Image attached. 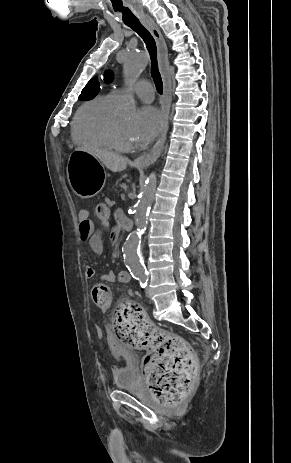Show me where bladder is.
Instances as JSON below:
<instances>
[{
    "mask_svg": "<svg viewBox=\"0 0 291 463\" xmlns=\"http://www.w3.org/2000/svg\"><path fill=\"white\" fill-rule=\"evenodd\" d=\"M119 366L115 375L116 386L119 389H133L138 386V375L135 368V358L130 352L116 353Z\"/></svg>",
    "mask_w": 291,
    "mask_h": 463,
    "instance_id": "obj_1",
    "label": "bladder"
}]
</instances>
